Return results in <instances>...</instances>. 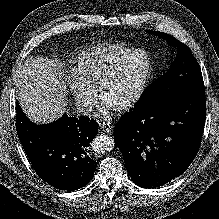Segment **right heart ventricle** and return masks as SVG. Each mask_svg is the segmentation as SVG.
Returning <instances> with one entry per match:
<instances>
[{"label":"right heart ventricle","mask_w":219,"mask_h":219,"mask_svg":"<svg viewBox=\"0 0 219 219\" xmlns=\"http://www.w3.org/2000/svg\"><path fill=\"white\" fill-rule=\"evenodd\" d=\"M134 47L122 43L104 44L81 51L74 61V72L79 79L96 89L108 68Z\"/></svg>","instance_id":"1"}]
</instances>
